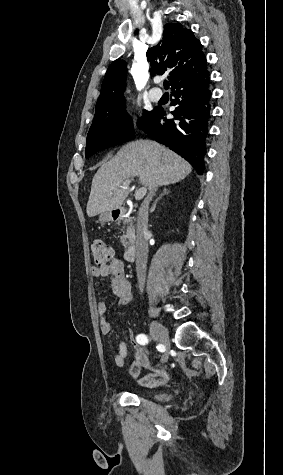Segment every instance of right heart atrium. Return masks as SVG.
I'll list each match as a JSON object with an SVG mask.
<instances>
[{
  "label": "right heart atrium",
  "mask_w": 283,
  "mask_h": 475,
  "mask_svg": "<svg viewBox=\"0 0 283 475\" xmlns=\"http://www.w3.org/2000/svg\"><path fill=\"white\" fill-rule=\"evenodd\" d=\"M128 129L131 130V131L135 130L136 129V124L135 123L129 124Z\"/></svg>",
  "instance_id": "right-heart-atrium-1"
}]
</instances>
